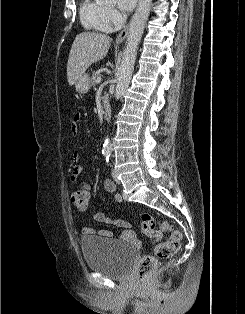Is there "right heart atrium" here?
I'll use <instances>...</instances> for the list:
<instances>
[{
    "mask_svg": "<svg viewBox=\"0 0 245 314\" xmlns=\"http://www.w3.org/2000/svg\"><path fill=\"white\" fill-rule=\"evenodd\" d=\"M118 21V13L113 8H105L104 13V22L106 24V27L108 29H112V27L117 23Z\"/></svg>",
    "mask_w": 245,
    "mask_h": 314,
    "instance_id": "right-heart-atrium-1",
    "label": "right heart atrium"
}]
</instances>
